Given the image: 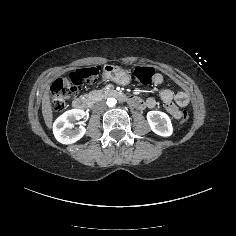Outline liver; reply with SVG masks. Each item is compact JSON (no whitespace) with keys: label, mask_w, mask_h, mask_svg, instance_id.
Here are the masks:
<instances>
[{"label":"liver","mask_w":236,"mask_h":236,"mask_svg":"<svg viewBox=\"0 0 236 236\" xmlns=\"http://www.w3.org/2000/svg\"><path fill=\"white\" fill-rule=\"evenodd\" d=\"M50 87L47 86L43 98H42V116L44 119V122L46 124V127L51 130L53 125V109H52V103L50 98Z\"/></svg>","instance_id":"obj_1"}]
</instances>
